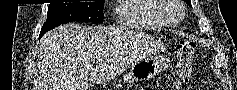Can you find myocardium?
<instances>
[{"mask_svg": "<svg viewBox=\"0 0 237 90\" xmlns=\"http://www.w3.org/2000/svg\"><path fill=\"white\" fill-rule=\"evenodd\" d=\"M163 1L176 2V0H163ZM179 5H182V4L179 3ZM160 21L167 28H171V29L179 28L184 21V12L183 11H165V13L160 14Z\"/></svg>", "mask_w": 237, "mask_h": 90, "instance_id": "1", "label": "myocardium"}]
</instances>
